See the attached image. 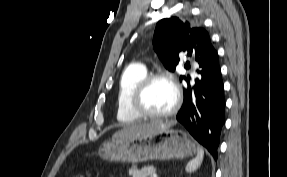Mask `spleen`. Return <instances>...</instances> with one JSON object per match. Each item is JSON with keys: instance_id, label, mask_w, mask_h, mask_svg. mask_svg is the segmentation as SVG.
Listing matches in <instances>:
<instances>
[{"instance_id": "1", "label": "spleen", "mask_w": 287, "mask_h": 177, "mask_svg": "<svg viewBox=\"0 0 287 177\" xmlns=\"http://www.w3.org/2000/svg\"><path fill=\"white\" fill-rule=\"evenodd\" d=\"M203 158H204V151L202 148L198 147L197 156L187 163L185 170L187 172H194L201 166Z\"/></svg>"}]
</instances>
